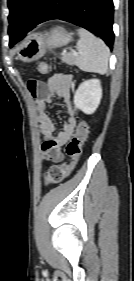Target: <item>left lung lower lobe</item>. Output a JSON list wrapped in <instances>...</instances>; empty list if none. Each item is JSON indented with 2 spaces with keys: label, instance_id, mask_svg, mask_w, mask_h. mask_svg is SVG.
Returning a JSON list of instances; mask_svg holds the SVG:
<instances>
[{
  "label": "left lung lower lobe",
  "instance_id": "left-lung-lower-lobe-1",
  "mask_svg": "<svg viewBox=\"0 0 134 281\" xmlns=\"http://www.w3.org/2000/svg\"><path fill=\"white\" fill-rule=\"evenodd\" d=\"M52 19H61L84 27L101 37L110 49L113 48L112 0H47L33 20L30 30Z\"/></svg>",
  "mask_w": 134,
  "mask_h": 281
}]
</instances>
